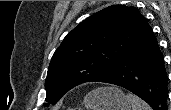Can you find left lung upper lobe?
Listing matches in <instances>:
<instances>
[{
	"mask_svg": "<svg viewBox=\"0 0 171 110\" xmlns=\"http://www.w3.org/2000/svg\"><path fill=\"white\" fill-rule=\"evenodd\" d=\"M150 26L135 7L109 6L69 32L52 56L45 81L46 103L56 104L73 87L115 67Z\"/></svg>",
	"mask_w": 171,
	"mask_h": 110,
	"instance_id": "left-lung-upper-lobe-1",
	"label": "left lung upper lobe"
}]
</instances>
